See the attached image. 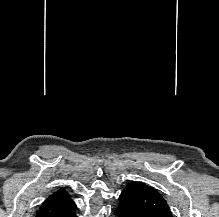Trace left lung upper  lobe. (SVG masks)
I'll return each mask as SVG.
<instances>
[{"label": "left lung upper lobe", "instance_id": "left-lung-upper-lobe-1", "mask_svg": "<svg viewBox=\"0 0 219 217\" xmlns=\"http://www.w3.org/2000/svg\"><path fill=\"white\" fill-rule=\"evenodd\" d=\"M119 199L118 207L130 217H173L163 196L146 184L130 182Z\"/></svg>", "mask_w": 219, "mask_h": 217}]
</instances>
